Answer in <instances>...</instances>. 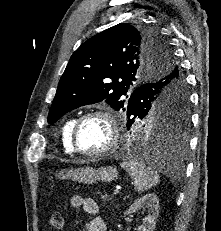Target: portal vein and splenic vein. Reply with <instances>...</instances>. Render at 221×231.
<instances>
[{
  "label": "portal vein and splenic vein",
  "mask_w": 221,
  "mask_h": 231,
  "mask_svg": "<svg viewBox=\"0 0 221 231\" xmlns=\"http://www.w3.org/2000/svg\"><path fill=\"white\" fill-rule=\"evenodd\" d=\"M118 193H119V190H117V189L114 190V192H113L114 195H117Z\"/></svg>",
  "instance_id": "1"
}]
</instances>
